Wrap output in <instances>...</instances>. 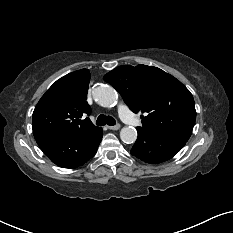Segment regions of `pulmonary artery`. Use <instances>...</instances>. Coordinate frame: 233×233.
I'll use <instances>...</instances> for the list:
<instances>
[{"label":"pulmonary artery","mask_w":233,"mask_h":233,"mask_svg":"<svg viewBox=\"0 0 233 233\" xmlns=\"http://www.w3.org/2000/svg\"><path fill=\"white\" fill-rule=\"evenodd\" d=\"M118 111L121 119L125 123L131 126H138L140 124L139 120L132 115L131 111L126 105H120Z\"/></svg>","instance_id":"1"}]
</instances>
